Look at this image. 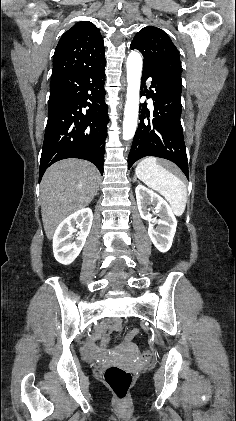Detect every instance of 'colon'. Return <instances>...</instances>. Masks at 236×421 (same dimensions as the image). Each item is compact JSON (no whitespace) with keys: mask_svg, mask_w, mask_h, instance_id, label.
Here are the masks:
<instances>
[{"mask_svg":"<svg viewBox=\"0 0 236 421\" xmlns=\"http://www.w3.org/2000/svg\"><path fill=\"white\" fill-rule=\"evenodd\" d=\"M108 339L101 341V347L106 346ZM143 357L151 359L153 357L152 350H144ZM104 380L106 385L114 393L116 398L123 401L127 398L133 384V375L130 371L116 365L109 366L104 372Z\"/></svg>","mask_w":236,"mask_h":421,"instance_id":"1","label":"colon"}]
</instances>
